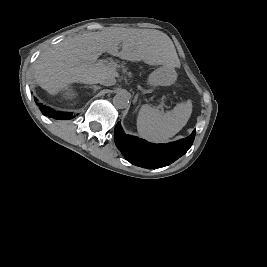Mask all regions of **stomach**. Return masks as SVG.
Listing matches in <instances>:
<instances>
[{
    "label": "stomach",
    "mask_w": 267,
    "mask_h": 267,
    "mask_svg": "<svg viewBox=\"0 0 267 267\" xmlns=\"http://www.w3.org/2000/svg\"><path fill=\"white\" fill-rule=\"evenodd\" d=\"M176 79L174 69L167 66L160 67L154 70L148 77V84L152 86H168Z\"/></svg>",
    "instance_id": "obj_1"
}]
</instances>
